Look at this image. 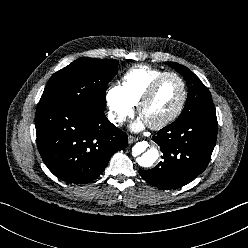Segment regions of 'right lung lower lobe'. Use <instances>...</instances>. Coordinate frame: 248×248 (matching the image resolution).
Here are the masks:
<instances>
[{"instance_id":"obj_1","label":"right lung lower lobe","mask_w":248,"mask_h":248,"mask_svg":"<svg viewBox=\"0 0 248 248\" xmlns=\"http://www.w3.org/2000/svg\"><path fill=\"white\" fill-rule=\"evenodd\" d=\"M39 153L58 178L83 184L96 179L111 156L128 145L127 134L104 112L61 104H38L35 115Z\"/></svg>"}]
</instances>
